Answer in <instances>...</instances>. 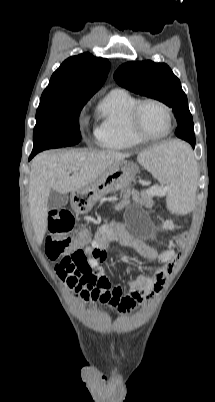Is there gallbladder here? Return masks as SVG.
I'll return each mask as SVG.
<instances>
[{
  "instance_id": "1",
  "label": "gallbladder",
  "mask_w": 215,
  "mask_h": 402,
  "mask_svg": "<svg viewBox=\"0 0 215 402\" xmlns=\"http://www.w3.org/2000/svg\"><path fill=\"white\" fill-rule=\"evenodd\" d=\"M67 203H68L67 194H62L59 193L58 191L51 190L47 202L48 209L50 210L59 209L67 205Z\"/></svg>"
}]
</instances>
